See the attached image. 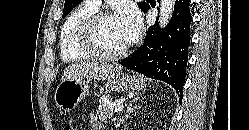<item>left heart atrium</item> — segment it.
<instances>
[{
	"label": "left heart atrium",
	"mask_w": 249,
	"mask_h": 130,
	"mask_svg": "<svg viewBox=\"0 0 249 130\" xmlns=\"http://www.w3.org/2000/svg\"><path fill=\"white\" fill-rule=\"evenodd\" d=\"M115 17L120 24L128 44L134 42L142 28L139 11L131 3H123L117 9Z\"/></svg>",
	"instance_id": "1"
}]
</instances>
